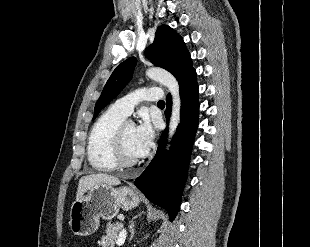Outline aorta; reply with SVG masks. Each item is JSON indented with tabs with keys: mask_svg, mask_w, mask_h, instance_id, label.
Segmentation results:
<instances>
[{
	"mask_svg": "<svg viewBox=\"0 0 310 247\" xmlns=\"http://www.w3.org/2000/svg\"><path fill=\"white\" fill-rule=\"evenodd\" d=\"M146 75L150 79L158 81L164 85L172 96V113L168 133V141L170 142L180 122L181 100L179 84L172 74L161 68H149L146 71ZM169 146L170 145L168 144L166 150H169Z\"/></svg>",
	"mask_w": 310,
	"mask_h": 247,
	"instance_id": "aorta-1",
	"label": "aorta"
}]
</instances>
